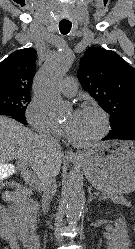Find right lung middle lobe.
<instances>
[{
	"label": "right lung middle lobe",
	"instance_id": "obj_1",
	"mask_svg": "<svg viewBox=\"0 0 135 249\" xmlns=\"http://www.w3.org/2000/svg\"><path fill=\"white\" fill-rule=\"evenodd\" d=\"M30 100L28 92L0 91V110H8L24 117Z\"/></svg>",
	"mask_w": 135,
	"mask_h": 249
}]
</instances>
